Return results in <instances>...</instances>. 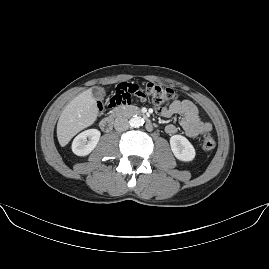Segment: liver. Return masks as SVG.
I'll return each mask as SVG.
<instances>
[{"mask_svg":"<svg viewBox=\"0 0 269 269\" xmlns=\"http://www.w3.org/2000/svg\"><path fill=\"white\" fill-rule=\"evenodd\" d=\"M98 116L97 101L88 89L75 97L62 111L57 123V137L64 147L81 130L92 125Z\"/></svg>","mask_w":269,"mask_h":269,"instance_id":"liver-1","label":"liver"}]
</instances>
